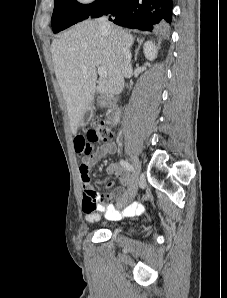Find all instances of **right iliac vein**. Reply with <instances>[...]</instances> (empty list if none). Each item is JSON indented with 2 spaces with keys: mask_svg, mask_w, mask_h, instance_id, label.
<instances>
[{
  "mask_svg": "<svg viewBox=\"0 0 227 298\" xmlns=\"http://www.w3.org/2000/svg\"><path fill=\"white\" fill-rule=\"evenodd\" d=\"M132 162H133V165L135 167V177L134 179L132 180V186H131V190H130V195L128 197V202L131 201L135 194H136V191H137V182H138V174H139V171H140V168H141V165H140V162L138 160V158L136 156H132Z\"/></svg>",
  "mask_w": 227,
  "mask_h": 298,
  "instance_id": "1",
  "label": "right iliac vein"
}]
</instances>
